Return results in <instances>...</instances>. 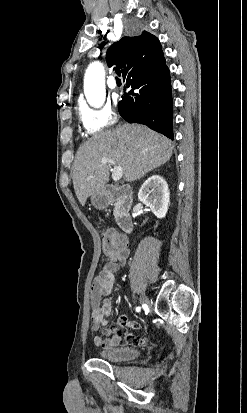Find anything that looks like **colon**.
<instances>
[{"label":"colon","instance_id":"colon-1","mask_svg":"<svg viewBox=\"0 0 247 413\" xmlns=\"http://www.w3.org/2000/svg\"><path fill=\"white\" fill-rule=\"evenodd\" d=\"M125 237L119 231L106 232L102 237V243L104 247L101 249L103 254L113 253L115 256L122 254V247H124Z\"/></svg>","mask_w":247,"mask_h":413}]
</instances>
